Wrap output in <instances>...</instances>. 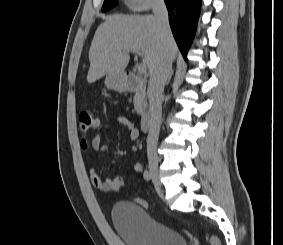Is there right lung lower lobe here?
<instances>
[{
	"label": "right lung lower lobe",
	"mask_w": 283,
	"mask_h": 245,
	"mask_svg": "<svg viewBox=\"0 0 283 245\" xmlns=\"http://www.w3.org/2000/svg\"><path fill=\"white\" fill-rule=\"evenodd\" d=\"M169 13V22L177 45L187 60V52L192 43L201 0H164Z\"/></svg>",
	"instance_id": "1"
}]
</instances>
